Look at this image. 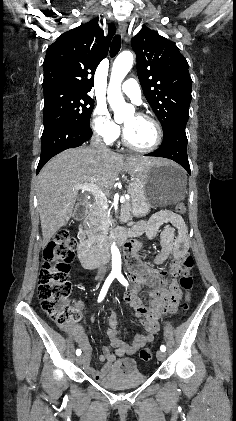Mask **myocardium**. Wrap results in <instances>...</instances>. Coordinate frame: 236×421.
<instances>
[{
  "label": "myocardium",
  "mask_w": 236,
  "mask_h": 421,
  "mask_svg": "<svg viewBox=\"0 0 236 421\" xmlns=\"http://www.w3.org/2000/svg\"><path fill=\"white\" fill-rule=\"evenodd\" d=\"M136 114L138 116L146 119L147 121H149L153 125V127L155 129V140H154L153 144L150 145L149 147L143 148V147L136 146L128 140V138L126 136L125 129H124L123 134H122L123 144L126 147H128L129 149H131L133 151H136V152H139V153H151V152L155 151L156 149H158V147L161 145V142H162V139H163L162 127L159 124V122L156 119H154L152 116H150L148 114H145V113H142V112H138Z\"/></svg>",
  "instance_id": "obj_1"
}]
</instances>
